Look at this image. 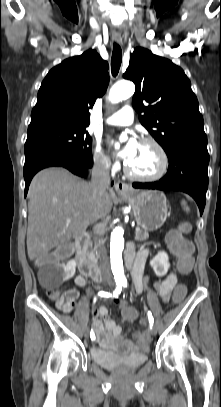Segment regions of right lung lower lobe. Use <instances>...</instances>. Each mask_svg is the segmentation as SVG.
Here are the masks:
<instances>
[{
  "mask_svg": "<svg viewBox=\"0 0 221 407\" xmlns=\"http://www.w3.org/2000/svg\"><path fill=\"white\" fill-rule=\"evenodd\" d=\"M93 165L85 163L69 153L56 148H38L26 155L23 169L25 179V196L27 195L29 184L33 176L41 169L51 166H61L72 173L86 177Z\"/></svg>",
  "mask_w": 221,
  "mask_h": 407,
  "instance_id": "right-lung-lower-lobe-1",
  "label": "right lung lower lobe"
}]
</instances>
